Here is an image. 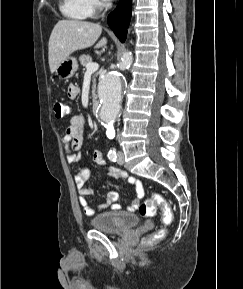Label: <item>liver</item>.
Listing matches in <instances>:
<instances>
[{"mask_svg":"<svg viewBox=\"0 0 243 289\" xmlns=\"http://www.w3.org/2000/svg\"><path fill=\"white\" fill-rule=\"evenodd\" d=\"M102 27L99 24L79 21L60 20L54 26L48 43V60L51 73L73 52L91 47L99 38ZM107 39L102 38L95 48L103 47Z\"/></svg>","mask_w":243,"mask_h":289,"instance_id":"6515ba94","label":"liver"}]
</instances>
